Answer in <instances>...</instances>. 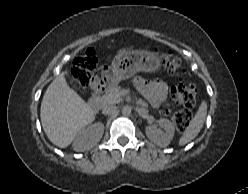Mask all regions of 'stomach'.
I'll return each instance as SVG.
<instances>
[{
	"label": "stomach",
	"instance_id": "0dacf381",
	"mask_svg": "<svg viewBox=\"0 0 248 194\" xmlns=\"http://www.w3.org/2000/svg\"><path fill=\"white\" fill-rule=\"evenodd\" d=\"M161 67L160 59L147 50H136L116 55L111 66L103 71L109 88L120 81L133 77L138 72H157Z\"/></svg>",
	"mask_w": 248,
	"mask_h": 194
}]
</instances>
